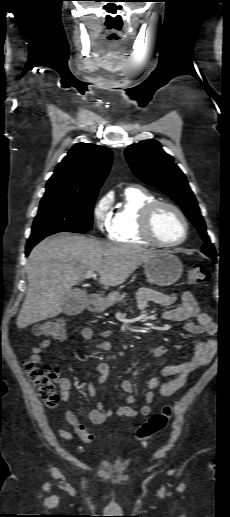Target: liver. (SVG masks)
<instances>
[{"instance_id":"obj_1","label":"liver","mask_w":230,"mask_h":517,"mask_svg":"<svg viewBox=\"0 0 230 517\" xmlns=\"http://www.w3.org/2000/svg\"><path fill=\"white\" fill-rule=\"evenodd\" d=\"M156 252L139 246L101 242L81 235L58 234L37 244L28 257V289L17 318L22 329L62 312L64 296L89 270L115 287Z\"/></svg>"}]
</instances>
